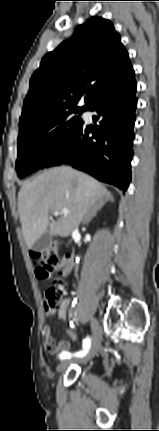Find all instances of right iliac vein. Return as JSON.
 Returning <instances> with one entry per match:
<instances>
[{
    "instance_id": "obj_1",
    "label": "right iliac vein",
    "mask_w": 159,
    "mask_h": 431,
    "mask_svg": "<svg viewBox=\"0 0 159 431\" xmlns=\"http://www.w3.org/2000/svg\"><path fill=\"white\" fill-rule=\"evenodd\" d=\"M90 321H91V329H92V345L88 353L86 354V356L80 360V363H86L90 359H92L96 355V353L98 352L101 346L102 336H101V330H100L99 324L94 317H91ZM69 364H70L69 360H62L57 366V372L59 373L63 372L68 367Z\"/></svg>"
}]
</instances>
